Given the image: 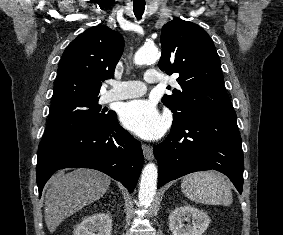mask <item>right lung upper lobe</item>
Instances as JSON below:
<instances>
[{
  "label": "right lung upper lobe",
  "instance_id": "cb5924a9",
  "mask_svg": "<svg viewBox=\"0 0 283 235\" xmlns=\"http://www.w3.org/2000/svg\"><path fill=\"white\" fill-rule=\"evenodd\" d=\"M124 48L120 33L105 25L87 29L65 49L58 67L52 103L72 97H99Z\"/></svg>",
  "mask_w": 283,
  "mask_h": 235
}]
</instances>
